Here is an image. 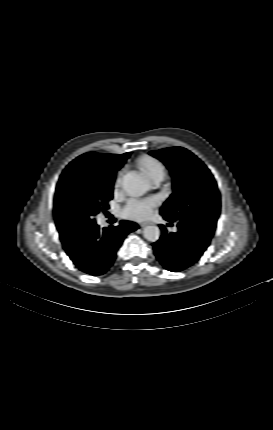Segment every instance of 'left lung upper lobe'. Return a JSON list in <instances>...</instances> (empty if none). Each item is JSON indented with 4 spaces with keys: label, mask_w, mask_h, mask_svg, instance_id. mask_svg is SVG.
<instances>
[{
    "label": "left lung upper lobe",
    "mask_w": 273,
    "mask_h": 430,
    "mask_svg": "<svg viewBox=\"0 0 273 430\" xmlns=\"http://www.w3.org/2000/svg\"><path fill=\"white\" fill-rule=\"evenodd\" d=\"M171 171L173 193L162 206L160 213L173 221L195 228L211 240L220 214V193L214 177L204 163L182 147L151 151ZM203 206L213 209V220L200 219Z\"/></svg>",
    "instance_id": "5c2ea615"
}]
</instances>
